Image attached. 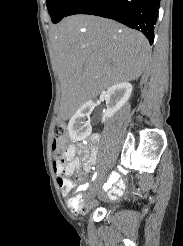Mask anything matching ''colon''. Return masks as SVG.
<instances>
[{
  "label": "colon",
  "mask_w": 183,
  "mask_h": 246,
  "mask_svg": "<svg viewBox=\"0 0 183 246\" xmlns=\"http://www.w3.org/2000/svg\"><path fill=\"white\" fill-rule=\"evenodd\" d=\"M65 133V125L63 123H56L53 128L52 151L54 158L60 162H64L67 149L65 144ZM71 205L74 210L83 211L85 207L83 197L81 195L74 196L71 200Z\"/></svg>",
  "instance_id": "1"
}]
</instances>
